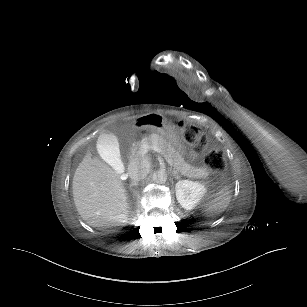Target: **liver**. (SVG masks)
Segmentation results:
<instances>
[{"label":"liver","mask_w":307,"mask_h":307,"mask_svg":"<svg viewBox=\"0 0 307 307\" xmlns=\"http://www.w3.org/2000/svg\"><path fill=\"white\" fill-rule=\"evenodd\" d=\"M72 187L76 209L89 226H117L127 219L124 185L119 175L97 157L84 156L74 173Z\"/></svg>","instance_id":"6515ba94"}]
</instances>
